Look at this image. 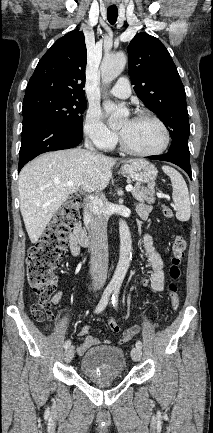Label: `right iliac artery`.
Segmentation results:
<instances>
[{"label":"right iliac artery","mask_w":213,"mask_h":433,"mask_svg":"<svg viewBox=\"0 0 213 433\" xmlns=\"http://www.w3.org/2000/svg\"><path fill=\"white\" fill-rule=\"evenodd\" d=\"M113 290H114L113 287H110V286H108V287L104 290L103 295H102V297H101V300L99 301L97 307L95 308V311H94L95 313L98 314V313L102 312V311L105 309V307H106L107 304H108V301H109L110 295H111V293H112ZM70 345H71V341H70V340H67V341L64 343V348L67 349V348L70 347Z\"/></svg>","instance_id":"82829eb1"}]
</instances>
